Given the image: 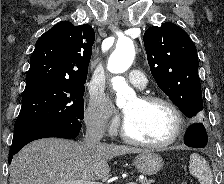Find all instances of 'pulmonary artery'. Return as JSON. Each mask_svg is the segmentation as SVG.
<instances>
[{
  "instance_id": "e3ab8cb5",
  "label": "pulmonary artery",
  "mask_w": 224,
  "mask_h": 184,
  "mask_svg": "<svg viewBox=\"0 0 224 184\" xmlns=\"http://www.w3.org/2000/svg\"><path fill=\"white\" fill-rule=\"evenodd\" d=\"M130 83L138 89H143L147 85L145 75L138 70H132L128 74Z\"/></svg>"
}]
</instances>
